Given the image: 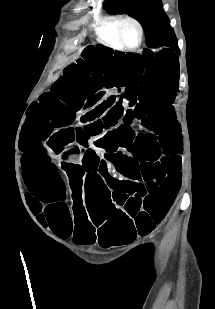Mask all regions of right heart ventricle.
Listing matches in <instances>:
<instances>
[{"mask_svg":"<svg viewBox=\"0 0 215 309\" xmlns=\"http://www.w3.org/2000/svg\"><path fill=\"white\" fill-rule=\"evenodd\" d=\"M120 18L119 15L109 16L107 19L100 21L97 25V40L108 48H123L120 37L116 33V22Z\"/></svg>","mask_w":215,"mask_h":309,"instance_id":"right-heart-ventricle-1","label":"right heart ventricle"}]
</instances>
